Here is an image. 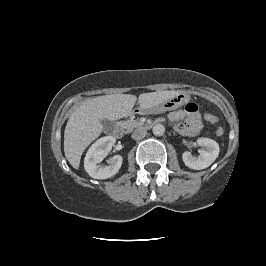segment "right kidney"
<instances>
[{"instance_id":"ca27d5eb","label":"right kidney","mask_w":266,"mask_h":266,"mask_svg":"<svg viewBox=\"0 0 266 266\" xmlns=\"http://www.w3.org/2000/svg\"><path fill=\"white\" fill-rule=\"evenodd\" d=\"M115 142L114 137L105 136L98 139L88 149L84 159V168L89 176L95 179H107L118 173L123 161L120 155L113 156L107 166L99 164L109 154Z\"/></svg>"}]
</instances>
